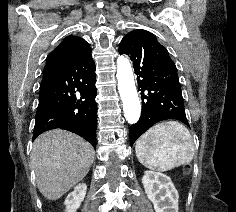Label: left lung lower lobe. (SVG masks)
<instances>
[{"instance_id": "obj_1", "label": "left lung lower lobe", "mask_w": 236, "mask_h": 212, "mask_svg": "<svg viewBox=\"0 0 236 212\" xmlns=\"http://www.w3.org/2000/svg\"><path fill=\"white\" fill-rule=\"evenodd\" d=\"M119 53L133 61L141 91V116L129 130L131 146L160 121L176 119L189 126L177 68L156 37L146 30H133L121 40Z\"/></svg>"}]
</instances>
